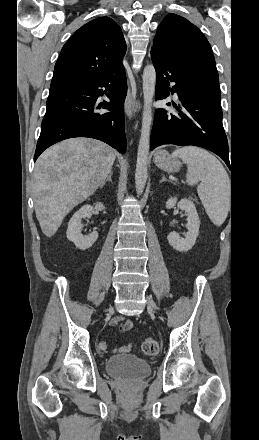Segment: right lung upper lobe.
I'll return each instance as SVG.
<instances>
[{
  "label": "right lung upper lobe",
  "mask_w": 259,
  "mask_h": 440,
  "mask_svg": "<svg viewBox=\"0 0 259 440\" xmlns=\"http://www.w3.org/2000/svg\"><path fill=\"white\" fill-rule=\"evenodd\" d=\"M126 43L121 28L109 17L94 19L65 43L50 87L102 77L123 66Z\"/></svg>",
  "instance_id": "cb5924a9"
}]
</instances>
